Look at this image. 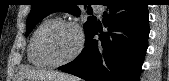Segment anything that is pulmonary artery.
I'll return each mask as SVG.
<instances>
[{
  "label": "pulmonary artery",
  "mask_w": 169,
  "mask_h": 81,
  "mask_svg": "<svg viewBox=\"0 0 169 81\" xmlns=\"http://www.w3.org/2000/svg\"><path fill=\"white\" fill-rule=\"evenodd\" d=\"M96 9H97L98 12H100L101 7H100V6H97Z\"/></svg>",
  "instance_id": "e3ab8cb5"
}]
</instances>
